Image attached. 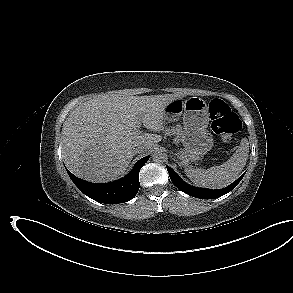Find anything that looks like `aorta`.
<instances>
[{"label":"aorta","mask_w":293,"mask_h":293,"mask_svg":"<svg viewBox=\"0 0 293 293\" xmlns=\"http://www.w3.org/2000/svg\"><path fill=\"white\" fill-rule=\"evenodd\" d=\"M167 155L164 150L157 149L153 152L152 159L154 162H163L166 159Z\"/></svg>","instance_id":"1"}]
</instances>
